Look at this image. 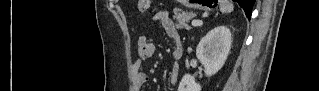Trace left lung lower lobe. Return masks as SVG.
<instances>
[{"instance_id": "left-lung-lower-lobe-1", "label": "left lung lower lobe", "mask_w": 319, "mask_h": 91, "mask_svg": "<svg viewBox=\"0 0 319 91\" xmlns=\"http://www.w3.org/2000/svg\"><path fill=\"white\" fill-rule=\"evenodd\" d=\"M237 3L244 9L247 18L250 20L252 14V8L255 0H236Z\"/></svg>"}]
</instances>
